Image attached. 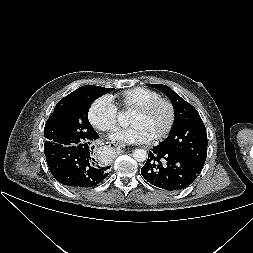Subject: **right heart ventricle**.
Here are the masks:
<instances>
[{
    "label": "right heart ventricle",
    "instance_id": "right-heart-ventricle-1",
    "mask_svg": "<svg viewBox=\"0 0 253 253\" xmlns=\"http://www.w3.org/2000/svg\"><path fill=\"white\" fill-rule=\"evenodd\" d=\"M157 98H160L158 92L141 86L127 89L120 95L122 106L130 110Z\"/></svg>",
    "mask_w": 253,
    "mask_h": 253
}]
</instances>
